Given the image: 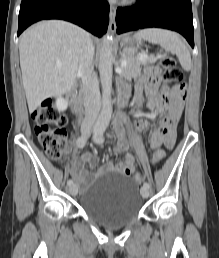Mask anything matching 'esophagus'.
I'll return each mask as SVG.
<instances>
[{"mask_svg":"<svg viewBox=\"0 0 219 258\" xmlns=\"http://www.w3.org/2000/svg\"><path fill=\"white\" fill-rule=\"evenodd\" d=\"M115 16H116V7L114 5H110V14H109V29L110 31L116 30L115 24Z\"/></svg>","mask_w":219,"mask_h":258,"instance_id":"obj_1","label":"esophagus"}]
</instances>
